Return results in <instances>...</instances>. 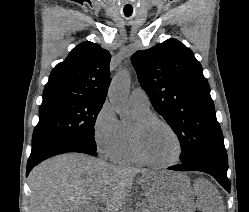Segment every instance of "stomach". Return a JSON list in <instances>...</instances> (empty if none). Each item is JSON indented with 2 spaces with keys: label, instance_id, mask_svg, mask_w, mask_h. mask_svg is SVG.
Segmentation results:
<instances>
[{
  "label": "stomach",
  "instance_id": "stomach-1",
  "mask_svg": "<svg viewBox=\"0 0 249 212\" xmlns=\"http://www.w3.org/2000/svg\"><path fill=\"white\" fill-rule=\"evenodd\" d=\"M141 184L145 203L156 204V212H195V196L185 170H151V175H142Z\"/></svg>",
  "mask_w": 249,
  "mask_h": 212
}]
</instances>
